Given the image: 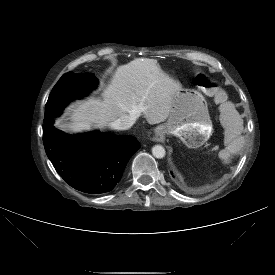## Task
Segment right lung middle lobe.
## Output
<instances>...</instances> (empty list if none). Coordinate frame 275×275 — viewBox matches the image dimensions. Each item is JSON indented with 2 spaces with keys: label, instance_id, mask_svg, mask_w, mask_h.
Segmentation results:
<instances>
[{
  "label": "right lung middle lobe",
  "instance_id": "obj_1",
  "mask_svg": "<svg viewBox=\"0 0 275 275\" xmlns=\"http://www.w3.org/2000/svg\"><path fill=\"white\" fill-rule=\"evenodd\" d=\"M96 82L93 74L68 72L56 83L45 106V119L51 120L74 99H79L90 92ZM95 86V84L93 85Z\"/></svg>",
  "mask_w": 275,
  "mask_h": 275
}]
</instances>
